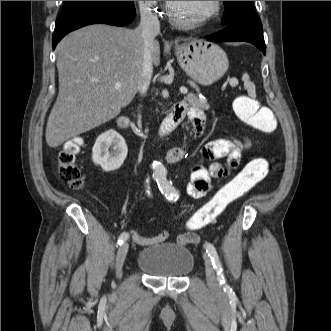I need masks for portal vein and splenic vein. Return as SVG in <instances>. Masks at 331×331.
Instances as JSON below:
<instances>
[{
    "mask_svg": "<svg viewBox=\"0 0 331 331\" xmlns=\"http://www.w3.org/2000/svg\"><path fill=\"white\" fill-rule=\"evenodd\" d=\"M114 88L115 89H120L121 88V83L120 82L115 83ZM180 92L182 94H186L188 92V89L186 87H180Z\"/></svg>",
    "mask_w": 331,
    "mask_h": 331,
    "instance_id": "18ae733b",
    "label": "portal vein and splenic vein"
}]
</instances>
